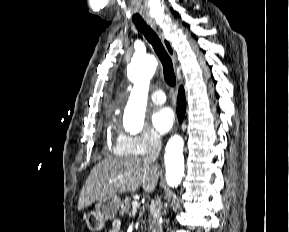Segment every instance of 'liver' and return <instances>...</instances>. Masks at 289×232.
Masks as SVG:
<instances>
[{"instance_id":"6515ba94","label":"liver","mask_w":289,"mask_h":232,"mask_svg":"<svg viewBox=\"0 0 289 232\" xmlns=\"http://www.w3.org/2000/svg\"><path fill=\"white\" fill-rule=\"evenodd\" d=\"M158 178V167L139 157L106 158L91 170L80 193L78 209L117 193L134 192L140 186L145 192H152Z\"/></svg>"}]
</instances>
